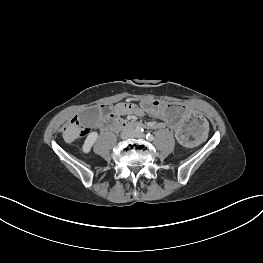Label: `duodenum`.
<instances>
[{
	"instance_id": "1",
	"label": "duodenum",
	"mask_w": 263,
	"mask_h": 263,
	"mask_svg": "<svg viewBox=\"0 0 263 263\" xmlns=\"http://www.w3.org/2000/svg\"><path fill=\"white\" fill-rule=\"evenodd\" d=\"M105 126L110 129H115V128L128 129V128H137L141 125L132 121L121 120L115 116H111L105 121Z\"/></svg>"
}]
</instances>
